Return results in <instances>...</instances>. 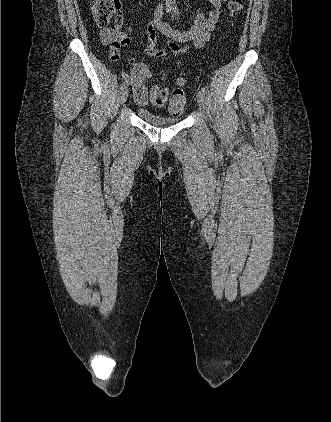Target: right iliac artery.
I'll use <instances>...</instances> for the list:
<instances>
[{"mask_svg": "<svg viewBox=\"0 0 331 422\" xmlns=\"http://www.w3.org/2000/svg\"><path fill=\"white\" fill-rule=\"evenodd\" d=\"M125 87H126L125 83H124V82H122V83H121V85H120V89L122 90V89H124Z\"/></svg>", "mask_w": 331, "mask_h": 422, "instance_id": "1", "label": "right iliac artery"}]
</instances>
